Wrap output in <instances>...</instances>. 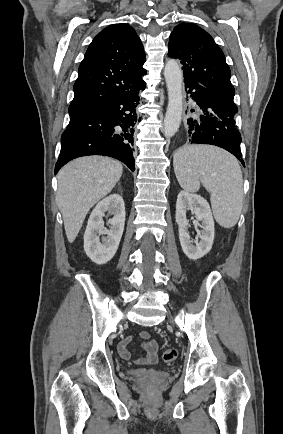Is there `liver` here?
<instances>
[{"instance_id":"obj_1","label":"liver","mask_w":283,"mask_h":434,"mask_svg":"<svg viewBox=\"0 0 283 434\" xmlns=\"http://www.w3.org/2000/svg\"><path fill=\"white\" fill-rule=\"evenodd\" d=\"M122 172L121 163L103 156L77 158L59 171L56 201L70 243L89 210L112 191Z\"/></svg>"}]
</instances>
